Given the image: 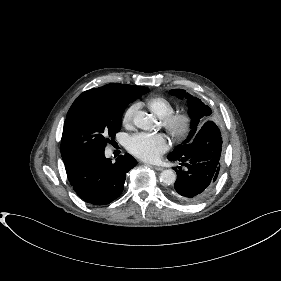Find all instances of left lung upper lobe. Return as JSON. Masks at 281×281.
<instances>
[{"label": "left lung upper lobe", "instance_id": "left-lung-upper-lobe-1", "mask_svg": "<svg viewBox=\"0 0 281 281\" xmlns=\"http://www.w3.org/2000/svg\"><path fill=\"white\" fill-rule=\"evenodd\" d=\"M170 94L178 96L180 98L186 97L189 101V114L192 119V130L189 133L188 138L180 145L176 146L174 151L169 156H180L182 155L187 145L190 144L200 129V121L206 120L211 114V110L206 106L200 99L193 98L190 94L186 93L185 90L173 89Z\"/></svg>", "mask_w": 281, "mask_h": 281}]
</instances>
